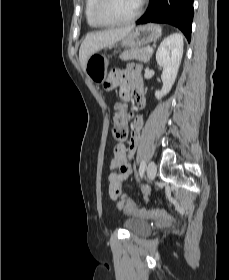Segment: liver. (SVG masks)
<instances>
[{
    "label": "liver",
    "instance_id": "obj_1",
    "mask_svg": "<svg viewBox=\"0 0 229 280\" xmlns=\"http://www.w3.org/2000/svg\"><path fill=\"white\" fill-rule=\"evenodd\" d=\"M133 28V26H130L87 34L79 50V60L83 69L88 57L105 47H109L121 41Z\"/></svg>",
    "mask_w": 229,
    "mask_h": 280
}]
</instances>
